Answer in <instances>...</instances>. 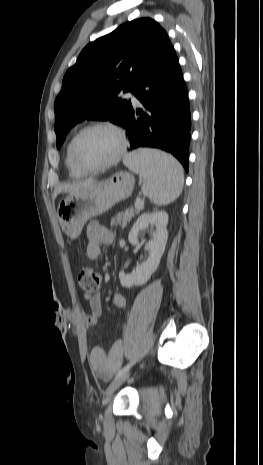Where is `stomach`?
Returning <instances> with one entry per match:
<instances>
[{"instance_id": "0dacf381", "label": "stomach", "mask_w": 263, "mask_h": 465, "mask_svg": "<svg viewBox=\"0 0 263 465\" xmlns=\"http://www.w3.org/2000/svg\"><path fill=\"white\" fill-rule=\"evenodd\" d=\"M133 188V175L120 171L107 180L70 192L60 201L57 209L62 230L71 238L78 237L89 219L105 213L116 203L130 197Z\"/></svg>"}]
</instances>
